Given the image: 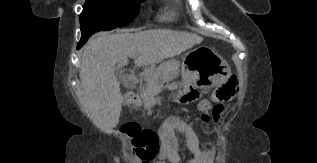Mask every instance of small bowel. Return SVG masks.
Segmentation results:
<instances>
[{
    "mask_svg": "<svg viewBox=\"0 0 317 163\" xmlns=\"http://www.w3.org/2000/svg\"><path fill=\"white\" fill-rule=\"evenodd\" d=\"M178 134H182L184 139ZM159 137L161 149L157 163H180L179 149L182 145L192 153L188 163H211V152L202 145L193 127L184 120L176 117L168 119L160 128Z\"/></svg>",
    "mask_w": 317,
    "mask_h": 163,
    "instance_id": "obj_1",
    "label": "small bowel"
}]
</instances>
